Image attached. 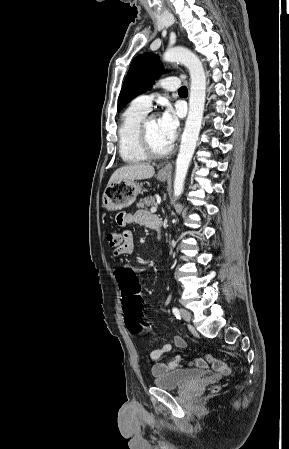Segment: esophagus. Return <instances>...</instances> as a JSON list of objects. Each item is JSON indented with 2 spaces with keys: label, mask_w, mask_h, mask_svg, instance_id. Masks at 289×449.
Here are the masks:
<instances>
[{
  "label": "esophagus",
  "mask_w": 289,
  "mask_h": 449,
  "mask_svg": "<svg viewBox=\"0 0 289 449\" xmlns=\"http://www.w3.org/2000/svg\"><path fill=\"white\" fill-rule=\"evenodd\" d=\"M172 170V163H166L162 168H161V172H171Z\"/></svg>",
  "instance_id": "esophagus-1"
}]
</instances>
